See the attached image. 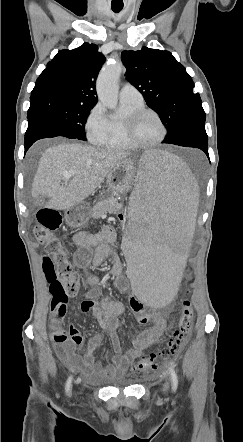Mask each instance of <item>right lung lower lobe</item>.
Listing matches in <instances>:
<instances>
[{
    "label": "right lung lower lobe",
    "instance_id": "1",
    "mask_svg": "<svg viewBox=\"0 0 243 442\" xmlns=\"http://www.w3.org/2000/svg\"><path fill=\"white\" fill-rule=\"evenodd\" d=\"M28 123V128L25 133V152L35 141L42 138H51L56 136L72 138V135L66 129L52 122L35 119Z\"/></svg>",
    "mask_w": 243,
    "mask_h": 442
}]
</instances>
